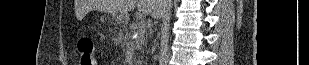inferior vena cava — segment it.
<instances>
[{"label":"inferior vena cava","instance_id":"inferior-vena-cava-1","mask_svg":"<svg viewBox=\"0 0 309 65\" xmlns=\"http://www.w3.org/2000/svg\"><path fill=\"white\" fill-rule=\"evenodd\" d=\"M163 2H165V8L167 7V5H168V2L167 1H165V0H162Z\"/></svg>","mask_w":309,"mask_h":65}]
</instances>
